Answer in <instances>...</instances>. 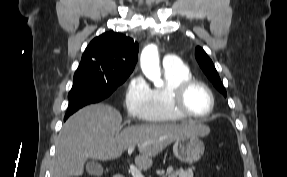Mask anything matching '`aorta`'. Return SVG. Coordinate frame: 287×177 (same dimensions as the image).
<instances>
[{
  "mask_svg": "<svg viewBox=\"0 0 287 177\" xmlns=\"http://www.w3.org/2000/svg\"><path fill=\"white\" fill-rule=\"evenodd\" d=\"M140 64L145 76L150 79L156 87L163 86L160 75L159 55L156 45L146 46L141 54Z\"/></svg>",
  "mask_w": 287,
  "mask_h": 177,
  "instance_id": "762f6f07",
  "label": "aorta"
}]
</instances>
